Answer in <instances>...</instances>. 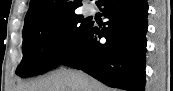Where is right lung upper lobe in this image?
Returning <instances> with one entry per match:
<instances>
[{"label": "right lung upper lobe", "instance_id": "obj_1", "mask_svg": "<svg viewBox=\"0 0 173 91\" xmlns=\"http://www.w3.org/2000/svg\"><path fill=\"white\" fill-rule=\"evenodd\" d=\"M80 0H31L24 28L74 14Z\"/></svg>", "mask_w": 173, "mask_h": 91}]
</instances>
